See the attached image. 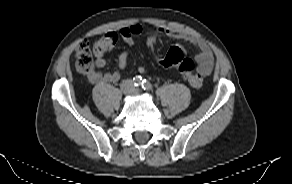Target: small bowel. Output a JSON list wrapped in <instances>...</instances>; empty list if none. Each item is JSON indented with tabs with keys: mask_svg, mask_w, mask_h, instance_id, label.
Segmentation results:
<instances>
[{
	"mask_svg": "<svg viewBox=\"0 0 292 184\" xmlns=\"http://www.w3.org/2000/svg\"><path fill=\"white\" fill-rule=\"evenodd\" d=\"M142 32L143 28L140 24H132L128 27L122 28L120 30V35L125 43H127L128 45H133L135 38L141 35ZM162 33L172 38L184 40L193 45L196 49L195 59L198 63V73L202 76H207L211 74L213 70V54L209 47L203 41L199 40L193 35L174 30H162ZM128 57L129 51H123L118 56L117 70L106 73H102L98 70H93L87 74L89 81L93 84L117 82L120 79L121 71L125 70V68L127 67ZM105 64L106 60L103 55H99L96 57V68H103ZM138 71L140 73H145L146 68L143 65H139Z\"/></svg>",
	"mask_w": 292,
	"mask_h": 184,
	"instance_id": "small-bowel-1",
	"label": "small bowel"
}]
</instances>
